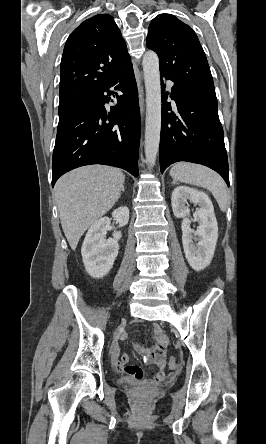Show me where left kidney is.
I'll return each mask as SVG.
<instances>
[{"label":"left kidney","instance_id":"obj_1","mask_svg":"<svg viewBox=\"0 0 266 444\" xmlns=\"http://www.w3.org/2000/svg\"><path fill=\"white\" fill-rule=\"evenodd\" d=\"M188 201L199 206L194 212V221L199 226L196 231L191 229ZM173 213L178 218H183L182 243L185 257L189 265L196 271H201L210 265L218 239V225L214 214V208L208 195L202 191L178 186L172 192L171 197ZM198 241V243H194Z\"/></svg>","mask_w":266,"mask_h":444}]
</instances>
